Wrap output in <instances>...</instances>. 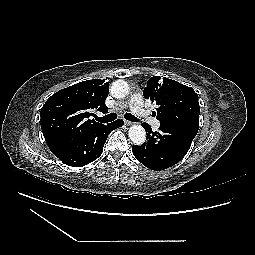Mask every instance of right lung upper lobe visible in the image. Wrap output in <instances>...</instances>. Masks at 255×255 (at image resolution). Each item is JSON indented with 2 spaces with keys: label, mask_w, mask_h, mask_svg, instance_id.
<instances>
[{
  "label": "right lung upper lobe",
  "mask_w": 255,
  "mask_h": 255,
  "mask_svg": "<svg viewBox=\"0 0 255 255\" xmlns=\"http://www.w3.org/2000/svg\"><path fill=\"white\" fill-rule=\"evenodd\" d=\"M104 82L100 79L79 82L56 92L43 105L41 128L52 153L58 155L79 135L103 125L89 117L93 111L107 113L109 83Z\"/></svg>",
  "instance_id": "right-lung-upper-lobe-1"
}]
</instances>
